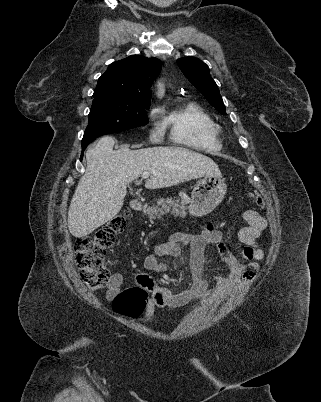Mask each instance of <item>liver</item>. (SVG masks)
Segmentation results:
<instances>
[{"label": "liver", "instance_id": "liver-1", "mask_svg": "<svg viewBox=\"0 0 321 402\" xmlns=\"http://www.w3.org/2000/svg\"><path fill=\"white\" fill-rule=\"evenodd\" d=\"M113 137H102L86 152L87 167L68 211L70 233L81 238L114 218L121 210L128 183L151 174L148 189L174 186L208 175L221 176L209 157L183 147H152L114 151Z\"/></svg>", "mask_w": 321, "mask_h": 402}]
</instances>
